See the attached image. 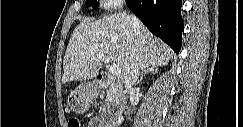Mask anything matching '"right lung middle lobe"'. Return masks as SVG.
<instances>
[{
	"label": "right lung middle lobe",
	"instance_id": "right-lung-middle-lobe-1",
	"mask_svg": "<svg viewBox=\"0 0 243 127\" xmlns=\"http://www.w3.org/2000/svg\"><path fill=\"white\" fill-rule=\"evenodd\" d=\"M86 6H92L93 9L98 10L97 0H86Z\"/></svg>",
	"mask_w": 243,
	"mask_h": 127
}]
</instances>
